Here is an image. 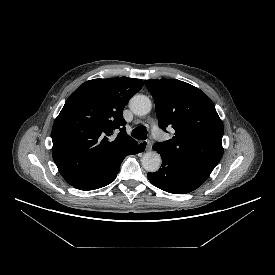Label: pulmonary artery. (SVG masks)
<instances>
[{
  "mask_svg": "<svg viewBox=\"0 0 275 275\" xmlns=\"http://www.w3.org/2000/svg\"><path fill=\"white\" fill-rule=\"evenodd\" d=\"M153 132L155 135H158V129L156 127L153 128Z\"/></svg>",
  "mask_w": 275,
  "mask_h": 275,
  "instance_id": "e3ab8cb5",
  "label": "pulmonary artery"
}]
</instances>
